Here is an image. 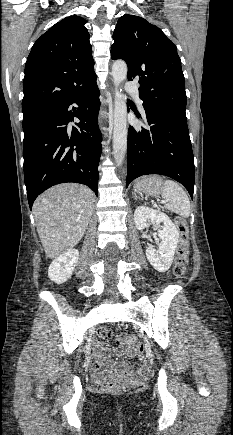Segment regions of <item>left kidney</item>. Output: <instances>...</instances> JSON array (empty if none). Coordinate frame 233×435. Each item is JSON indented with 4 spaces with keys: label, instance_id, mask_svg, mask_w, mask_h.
<instances>
[{
    "label": "left kidney",
    "instance_id": "5707ae66",
    "mask_svg": "<svg viewBox=\"0 0 233 435\" xmlns=\"http://www.w3.org/2000/svg\"><path fill=\"white\" fill-rule=\"evenodd\" d=\"M134 222L139 230L146 228L148 222L158 228V236L162 239L160 247L156 250L149 245L146 249V256L154 269L159 272L167 271L173 262L179 238V233L174 223L163 212L146 206H138L136 208ZM161 223H163V226H160Z\"/></svg>",
    "mask_w": 233,
    "mask_h": 435
}]
</instances>
